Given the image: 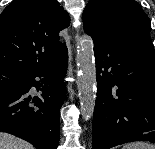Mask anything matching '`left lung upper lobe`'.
<instances>
[{"label":"left lung upper lobe","mask_w":155,"mask_h":149,"mask_svg":"<svg viewBox=\"0 0 155 149\" xmlns=\"http://www.w3.org/2000/svg\"><path fill=\"white\" fill-rule=\"evenodd\" d=\"M83 29L93 41L149 36L151 22L135 0H89Z\"/></svg>","instance_id":"1"}]
</instances>
